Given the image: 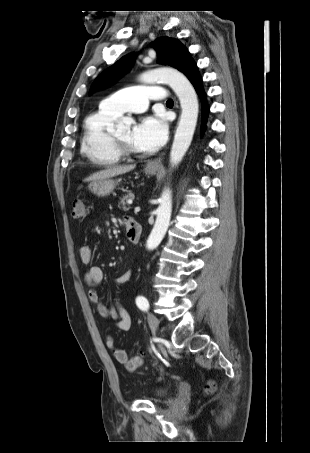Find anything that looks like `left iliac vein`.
Segmentation results:
<instances>
[{
  "instance_id": "4c4485c4",
  "label": "left iliac vein",
  "mask_w": 310,
  "mask_h": 453,
  "mask_svg": "<svg viewBox=\"0 0 310 453\" xmlns=\"http://www.w3.org/2000/svg\"><path fill=\"white\" fill-rule=\"evenodd\" d=\"M147 319H148V324L150 326V328L153 330V331H157L158 327H159V320L158 318L151 314V313H148V316H147Z\"/></svg>"
}]
</instances>
